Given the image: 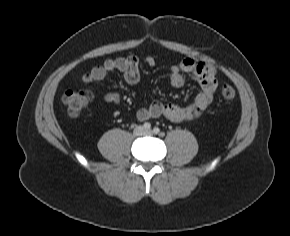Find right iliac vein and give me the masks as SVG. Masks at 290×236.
<instances>
[{"mask_svg": "<svg viewBox=\"0 0 290 236\" xmlns=\"http://www.w3.org/2000/svg\"><path fill=\"white\" fill-rule=\"evenodd\" d=\"M143 132H144V129L141 126L136 127L135 130H134V134L136 136L142 135Z\"/></svg>", "mask_w": 290, "mask_h": 236, "instance_id": "63e3f726", "label": "right iliac vein"}]
</instances>
